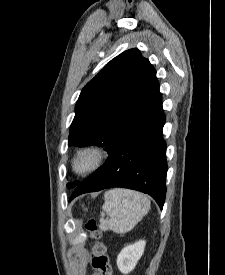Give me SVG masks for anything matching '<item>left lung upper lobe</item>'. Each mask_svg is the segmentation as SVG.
<instances>
[{"mask_svg": "<svg viewBox=\"0 0 225 275\" xmlns=\"http://www.w3.org/2000/svg\"><path fill=\"white\" fill-rule=\"evenodd\" d=\"M159 96L156 70L149 60L136 48L121 53L81 91L68 145H97L111 152ZM76 185L78 181L67 187Z\"/></svg>", "mask_w": 225, "mask_h": 275, "instance_id": "left-lung-upper-lobe-1", "label": "left lung upper lobe"}]
</instances>
